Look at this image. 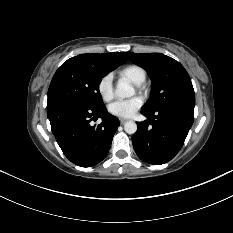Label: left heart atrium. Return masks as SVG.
<instances>
[{
    "instance_id": "39dd6f15",
    "label": "left heart atrium",
    "mask_w": 233,
    "mask_h": 233,
    "mask_svg": "<svg viewBox=\"0 0 233 233\" xmlns=\"http://www.w3.org/2000/svg\"><path fill=\"white\" fill-rule=\"evenodd\" d=\"M142 104L143 100L140 97L117 100L108 106V112L116 117L130 118L141 108Z\"/></svg>"
}]
</instances>
